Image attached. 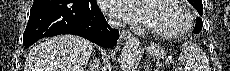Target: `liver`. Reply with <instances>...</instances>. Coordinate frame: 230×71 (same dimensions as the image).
I'll list each match as a JSON object with an SVG mask.
<instances>
[{
	"label": "liver",
	"instance_id": "1",
	"mask_svg": "<svg viewBox=\"0 0 230 71\" xmlns=\"http://www.w3.org/2000/svg\"><path fill=\"white\" fill-rule=\"evenodd\" d=\"M92 51L88 40L74 35L55 36L30 49L24 71H84Z\"/></svg>",
	"mask_w": 230,
	"mask_h": 71
}]
</instances>
